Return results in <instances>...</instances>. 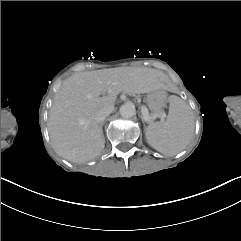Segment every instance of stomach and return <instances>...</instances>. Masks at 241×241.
Segmentation results:
<instances>
[{
    "mask_svg": "<svg viewBox=\"0 0 241 241\" xmlns=\"http://www.w3.org/2000/svg\"><path fill=\"white\" fill-rule=\"evenodd\" d=\"M147 105L152 112H159L166 106V93L162 90H156L147 95Z\"/></svg>",
    "mask_w": 241,
    "mask_h": 241,
    "instance_id": "0dacf381",
    "label": "stomach"
}]
</instances>
